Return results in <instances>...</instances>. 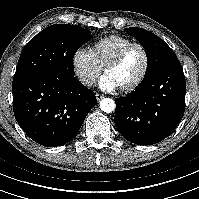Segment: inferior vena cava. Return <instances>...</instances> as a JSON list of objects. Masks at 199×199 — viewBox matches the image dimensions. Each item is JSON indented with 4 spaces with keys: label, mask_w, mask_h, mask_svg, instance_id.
Returning a JSON list of instances; mask_svg holds the SVG:
<instances>
[{
    "label": "inferior vena cava",
    "mask_w": 199,
    "mask_h": 199,
    "mask_svg": "<svg viewBox=\"0 0 199 199\" xmlns=\"http://www.w3.org/2000/svg\"><path fill=\"white\" fill-rule=\"evenodd\" d=\"M80 81L86 86H92L94 84V80L91 78L81 77Z\"/></svg>",
    "instance_id": "602c4592"
}]
</instances>
